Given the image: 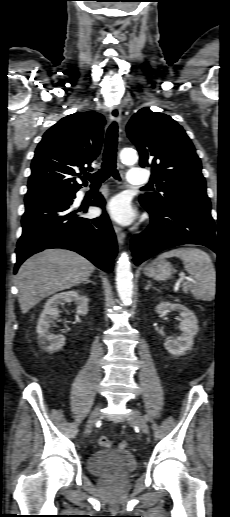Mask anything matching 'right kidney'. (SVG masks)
I'll use <instances>...</instances> for the list:
<instances>
[{
	"label": "right kidney",
	"instance_id": "right-kidney-1",
	"mask_svg": "<svg viewBox=\"0 0 230 517\" xmlns=\"http://www.w3.org/2000/svg\"><path fill=\"white\" fill-rule=\"evenodd\" d=\"M66 302H74L76 304V313L78 315L84 316L88 313V298L80 295L77 291L62 292L48 299L37 325L38 343L45 351L59 350L65 345V337L61 334L54 335L49 329L50 324L59 315L58 307Z\"/></svg>",
	"mask_w": 230,
	"mask_h": 517
}]
</instances>
